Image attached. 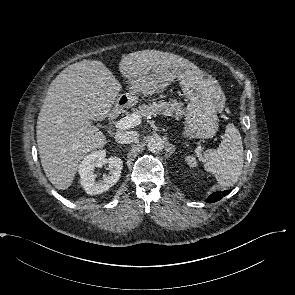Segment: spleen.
<instances>
[{"instance_id": "3e777b00", "label": "spleen", "mask_w": 295, "mask_h": 295, "mask_svg": "<svg viewBox=\"0 0 295 295\" xmlns=\"http://www.w3.org/2000/svg\"><path fill=\"white\" fill-rule=\"evenodd\" d=\"M203 157L205 170L215 175L221 188L234 185L243 168V144L238 129L232 123L228 124L219 147L205 151ZM186 161L191 167L197 166L192 156L186 157Z\"/></svg>"}]
</instances>
